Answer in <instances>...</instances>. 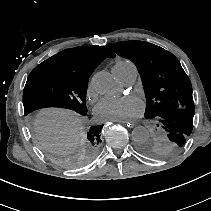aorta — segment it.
Here are the masks:
<instances>
[{
	"instance_id": "obj_1",
	"label": "aorta",
	"mask_w": 211,
	"mask_h": 211,
	"mask_svg": "<svg viewBox=\"0 0 211 211\" xmlns=\"http://www.w3.org/2000/svg\"><path fill=\"white\" fill-rule=\"evenodd\" d=\"M92 84L101 95H112L119 90L116 79L105 71L97 72L92 78ZM132 138L138 143L144 141L149 138V131L144 126H137L132 130Z\"/></svg>"
}]
</instances>
